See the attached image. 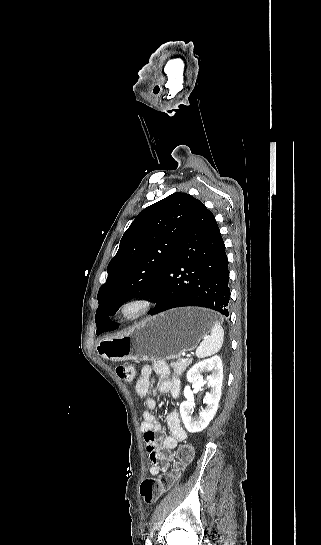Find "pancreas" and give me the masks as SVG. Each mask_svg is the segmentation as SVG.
I'll use <instances>...</instances> for the list:
<instances>
[{"instance_id":"obj_1","label":"pancreas","mask_w":321,"mask_h":545,"mask_svg":"<svg viewBox=\"0 0 321 545\" xmlns=\"http://www.w3.org/2000/svg\"><path fill=\"white\" fill-rule=\"evenodd\" d=\"M193 359H188V361H182V359H178V361H173V363H170V367H173V371L175 375H183L184 371H186L187 367L191 365Z\"/></svg>"}]
</instances>
